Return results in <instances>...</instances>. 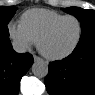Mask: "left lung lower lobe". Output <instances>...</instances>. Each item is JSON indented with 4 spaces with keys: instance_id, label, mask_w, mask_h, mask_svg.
Wrapping results in <instances>:
<instances>
[{
    "instance_id": "left-lung-lower-lobe-1",
    "label": "left lung lower lobe",
    "mask_w": 95,
    "mask_h": 95,
    "mask_svg": "<svg viewBox=\"0 0 95 95\" xmlns=\"http://www.w3.org/2000/svg\"><path fill=\"white\" fill-rule=\"evenodd\" d=\"M50 95H95V37L79 42L73 53L49 64Z\"/></svg>"
}]
</instances>
